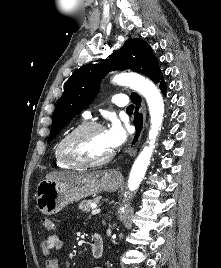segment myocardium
Returning a JSON list of instances; mask_svg holds the SVG:
<instances>
[{
    "instance_id": "obj_1",
    "label": "myocardium",
    "mask_w": 221,
    "mask_h": 268,
    "mask_svg": "<svg viewBox=\"0 0 221 268\" xmlns=\"http://www.w3.org/2000/svg\"><path fill=\"white\" fill-rule=\"evenodd\" d=\"M93 130H104V127L96 122H88L79 125L71 132H69L63 138L59 146V155L61 159L67 164L72 165L74 167H94L109 162L114 156L113 151L108 155H106L105 157L99 159L85 158L72 151L73 142L80 136Z\"/></svg>"
}]
</instances>
